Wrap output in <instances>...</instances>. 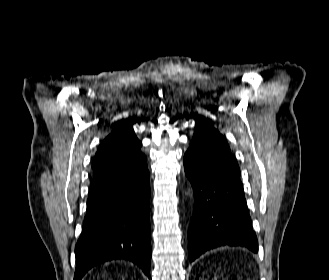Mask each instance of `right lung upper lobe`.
I'll list each match as a JSON object with an SVG mask.
<instances>
[{
	"label": "right lung upper lobe",
	"mask_w": 329,
	"mask_h": 280,
	"mask_svg": "<svg viewBox=\"0 0 329 280\" xmlns=\"http://www.w3.org/2000/svg\"><path fill=\"white\" fill-rule=\"evenodd\" d=\"M131 122H122L98 147L93 161V176L114 170H131L146 166Z\"/></svg>",
	"instance_id": "1"
}]
</instances>
